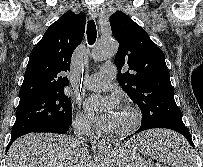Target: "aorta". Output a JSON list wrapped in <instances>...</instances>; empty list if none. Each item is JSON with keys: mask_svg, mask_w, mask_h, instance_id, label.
I'll list each match as a JSON object with an SVG mask.
<instances>
[{"mask_svg": "<svg viewBox=\"0 0 203 167\" xmlns=\"http://www.w3.org/2000/svg\"><path fill=\"white\" fill-rule=\"evenodd\" d=\"M117 51L118 43L113 37L102 38L97 42L91 56L94 61H103L114 57Z\"/></svg>", "mask_w": 203, "mask_h": 167, "instance_id": "obj_1", "label": "aorta"}]
</instances>
